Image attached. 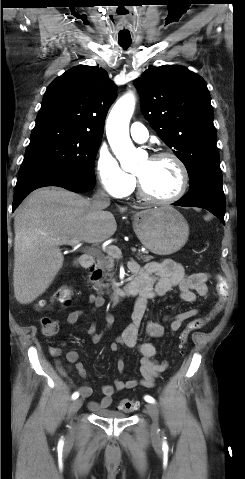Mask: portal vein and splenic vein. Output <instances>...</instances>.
Wrapping results in <instances>:
<instances>
[{
  "label": "portal vein and splenic vein",
  "mask_w": 245,
  "mask_h": 479,
  "mask_svg": "<svg viewBox=\"0 0 245 479\" xmlns=\"http://www.w3.org/2000/svg\"><path fill=\"white\" fill-rule=\"evenodd\" d=\"M79 243H80V240L71 239V240L66 241L64 244H67V245H70L72 247L77 248L79 246ZM104 251L107 254L113 256L114 258H120L122 256L121 250L117 246H114V245L107 246L106 248H104ZM131 251L136 252L137 249L135 247H131Z\"/></svg>",
  "instance_id": "portal-vein-and-splenic-vein-1"
}]
</instances>
